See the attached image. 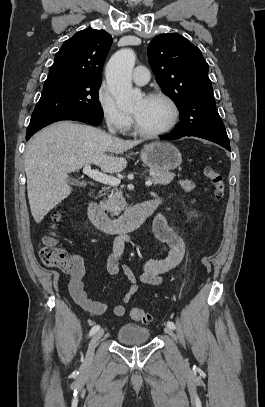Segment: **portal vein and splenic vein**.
<instances>
[{"instance_id": "18ae733b", "label": "portal vein and splenic vein", "mask_w": 265, "mask_h": 407, "mask_svg": "<svg viewBox=\"0 0 265 407\" xmlns=\"http://www.w3.org/2000/svg\"><path fill=\"white\" fill-rule=\"evenodd\" d=\"M83 173L86 174L88 177L92 178L93 180L103 183V184H107L110 186H118L120 184L119 179H117L113 176L104 174L102 172H99L97 170L91 169V165H85L83 168ZM152 183H153L152 180H147L145 182V185L151 186Z\"/></svg>"}]
</instances>
